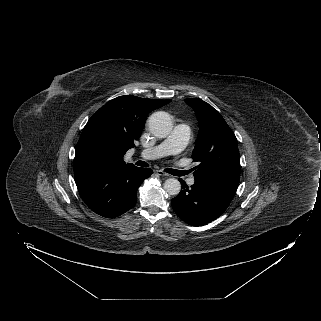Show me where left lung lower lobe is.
<instances>
[{
  "instance_id": "0a47b994",
  "label": "left lung lower lobe",
  "mask_w": 321,
  "mask_h": 321,
  "mask_svg": "<svg viewBox=\"0 0 321 321\" xmlns=\"http://www.w3.org/2000/svg\"><path fill=\"white\" fill-rule=\"evenodd\" d=\"M179 180L183 189L172 199V207L186 223L202 226L218 218L227 209L238 188L240 176L195 178L191 188Z\"/></svg>"
}]
</instances>
